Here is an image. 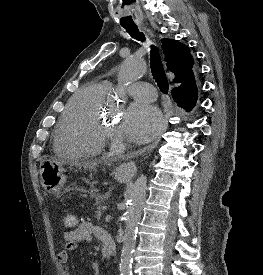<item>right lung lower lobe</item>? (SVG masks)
Returning a JSON list of instances; mask_svg holds the SVG:
<instances>
[{
	"label": "right lung lower lobe",
	"mask_w": 263,
	"mask_h": 275,
	"mask_svg": "<svg viewBox=\"0 0 263 275\" xmlns=\"http://www.w3.org/2000/svg\"><path fill=\"white\" fill-rule=\"evenodd\" d=\"M189 82L190 83L195 82V76H194L193 70L189 75ZM185 89H186L185 87L180 86V87L174 88L172 90V97L174 98V100L176 102H178L179 105H181V107H184V103L187 98ZM184 109H185V107H184Z\"/></svg>",
	"instance_id": "obj_1"
}]
</instances>
